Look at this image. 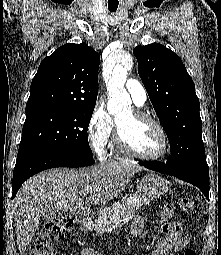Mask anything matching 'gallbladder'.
Returning a JSON list of instances; mask_svg holds the SVG:
<instances>
[{
    "instance_id": "1",
    "label": "gallbladder",
    "mask_w": 221,
    "mask_h": 255,
    "mask_svg": "<svg viewBox=\"0 0 221 255\" xmlns=\"http://www.w3.org/2000/svg\"><path fill=\"white\" fill-rule=\"evenodd\" d=\"M56 211L55 210H48L42 217L43 220H50L54 215Z\"/></svg>"
}]
</instances>
